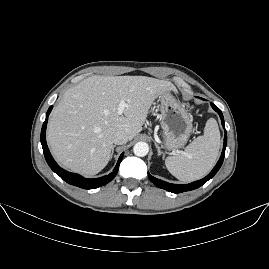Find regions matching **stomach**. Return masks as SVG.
Listing matches in <instances>:
<instances>
[{
	"instance_id": "obj_1",
	"label": "stomach",
	"mask_w": 269,
	"mask_h": 269,
	"mask_svg": "<svg viewBox=\"0 0 269 269\" xmlns=\"http://www.w3.org/2000/svg\"><path fill=\"white\" fill-rule=\"evenodd\" d=\"M157 103L162 114V146L173 152L183 148L192 133V117L170 94L160 95Z\"/></svg>"
}]
</instances>
